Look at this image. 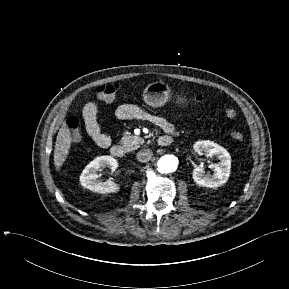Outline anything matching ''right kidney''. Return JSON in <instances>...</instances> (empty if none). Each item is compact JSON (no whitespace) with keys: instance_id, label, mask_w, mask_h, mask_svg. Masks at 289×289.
I'll list each match as a JSON object with an SVG mask.
<instances>
[{"instance_id":"obj_1","label":"right kidney","mask_w":289,"mask_h":289,"mask_svg":"<svg viewBox=\"0 0 289 289\" xmlns=\"http://www.w3.org/2000/svg\"><path fill=\"white\" fill-rule=\"evenodd\" d=\"M110 166L112 170L117 169L118 162L112 156H100L91 161L80 176V183L83 187L97 193L106 194L117 192L120 186L111 180L102 182L97 175L101 168Z\"/></svg>"}]
</instances>
